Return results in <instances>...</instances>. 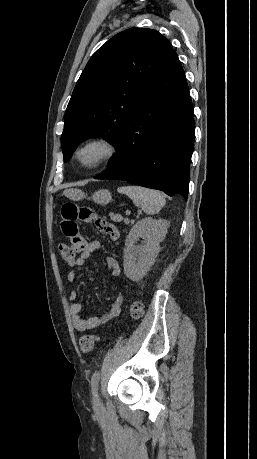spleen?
Wrapping results in <instances>:
<instances>
[{
	"label": "spleen",
	"mask_w": 257,
	"mask_h": 459,
	"mask_svg": "<svg viewBox=\"0 0 257 459\" xmlns=\"http://www.w3.org/2000/svg\"><path fill=\"white\" fill-rule=\"evenodd\" d=\"M118 192L126 194L136 206L152 215L158 213L166 204L164 195L157 191L141 186H123L118 188Z\"/></svg>",
	"instance_id": "3e777b00"
}]
</instances>
